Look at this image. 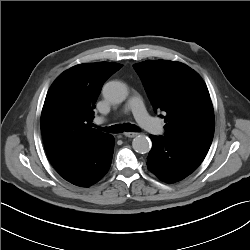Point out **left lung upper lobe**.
I'll return each mask as SVG.
<instances>
[{
    "label": "left lung upper lobe",
    "instance_id": "5c2ea615",
    "mask_svg": "<svg viewBox=\"0 0 250 250\" xmlns=\"http://www.w3.org/2000/svg\"><path fill=\"white\" fill-rule=\"evenodd\" d=\"M155 111L165 114L166 136L212 142L214 111L202 78L187 65L167 60L133 65Z\"/></svg>",
    "mask_w": 250,
    "mask_h": 250
}]
</instances>
